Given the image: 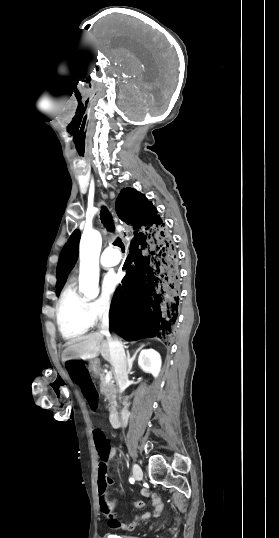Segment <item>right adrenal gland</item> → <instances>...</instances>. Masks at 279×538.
Here are the masks:
<instances>
[{"mask_svg": "<svg viewBox=\"0 0 279 538\" xmlns=\"http://www.w3.org/2000/svg\"><path fill=\"white\" fill-rule=\"evenodd\" d=\"M142 348H144V346H140V348H138V350H136V352H135L134 356H132V358H130V352H129V350H127V352H126V354H127L126 362L128 364V368H129L128 372H130V370H131L132 362H133V360H135L137 352H139V350H142Z\"/></svg>", "mask_w": 279, "mask_h": 538, "instance_id": "1", "label": "right adrenal gland"}]
</instances>
